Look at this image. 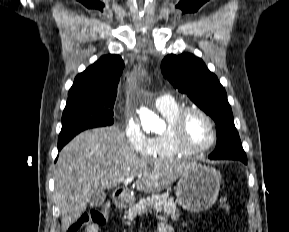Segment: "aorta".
<instances>
[{"mask_svg":"<svg viewBox=\"0 0 289 232\" xmlns=\"http://www.w3.org/2000/svg\"><path fill=\"white\" fill-rule=\"evenodd\" d=\"M143 128L147 131L158 132L164 128L163 121L152 111L143 108L140 112Z\"/></svg>","mask_w":289,"mask_h":232,"instance_id":"1","label":"aorta"}]
</instances>
